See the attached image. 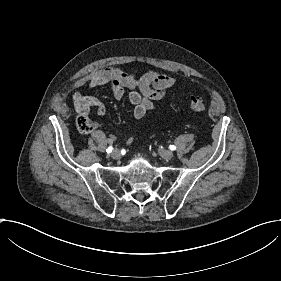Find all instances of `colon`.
Returning a JSON list of instances; mask_svg holds the SVG:
<instances>
[{"label": "colon", "mask_w": 281, "mask_h": 281, "mask_svg": "<svg viewBox=\"0 0 281 281\" xmlns=\"http://www.w3.org/2000/svg\"><path fill=\"white\" fill-rule=\"evenodd\" d=\"M190 108L195 113H205L208 109L207 101L204 99H194L190 103ZM77 127L81 132H89L92 125L88 119L81 118L77 122Z\"/></svg>", "instance_id": "5ec220e1"}]
</instances>
